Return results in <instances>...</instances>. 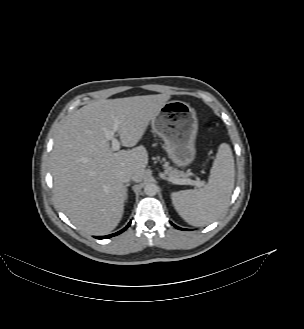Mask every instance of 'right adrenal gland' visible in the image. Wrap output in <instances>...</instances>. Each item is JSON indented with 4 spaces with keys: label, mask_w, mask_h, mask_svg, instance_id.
Wrapping results in <instances>:
<instances>
[{
    "label": "right adrenal gland",
    "mask_w": 304,
    "mask_h": 329,
    "mask_svg": "<svg viewBox=\"0 0 304 329\" xmlns=\"http://www.w3.org/2000/svg\"><path fill=\"white\" fill-rule=\"evenodd\" d=\"M130 184H126V185H124V189H125V200H127V198H128V189H127V187L129 186Z\"/></svg>",
    "instance_id": "right-adrenal-gland-1"
}]
</instances>
